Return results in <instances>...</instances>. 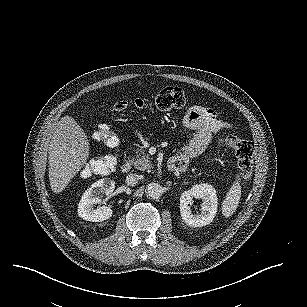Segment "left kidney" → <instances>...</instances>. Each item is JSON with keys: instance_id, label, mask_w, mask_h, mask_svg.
<instances>
[{"instance_id": "left-kidney-1", "label": "left kidney", "mask_w": 307, "mask_h": 307, "mask_svg": "<svg viewBox=\"0 0 307 307\" xmlns=\"http://www.w3.org/2000/svg\"><path fill=\"white\" fill-rule=\"evenodd\" d=\"M193 198L202 199L200 214H193L190 205ZM218 198L215 188L207 183L194 185L180 196V214L182 222L190 227H202L210 224L217 212Z\"/></svg>"}]
</instances>
